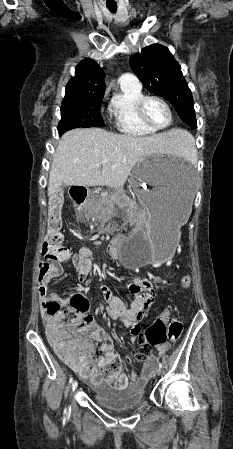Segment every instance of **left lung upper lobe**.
<instances>
[{"mask_svg": "<svg viewBox=\"0 0 233 449\" xmlns=\"http://www.w3.org/2000/svg\"><path fill=\"white\" fill-rule=\"evenodd\" d=\"M130 66L149 91L169 101L190 127H197L191 91L167 47L159 44L145 47L130 58Z\"/></svg>", "mask_w": 233, "mask_h": 449, "instance_id": "5c2ea615", "label": "left lung upper lobe"}]
</instances>
